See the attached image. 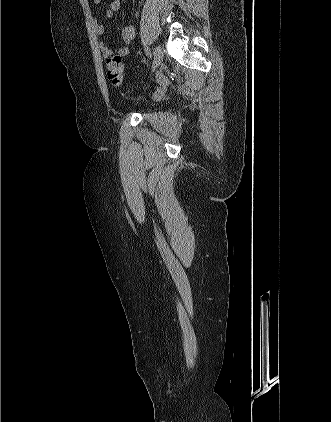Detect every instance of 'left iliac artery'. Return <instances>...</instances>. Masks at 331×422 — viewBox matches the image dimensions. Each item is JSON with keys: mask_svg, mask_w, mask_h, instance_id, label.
<instances>
[{"mask_svg": "<svg viewBox=\"0 0 331 422\" xmlns=\"http://www.w3.org/2000/svg\"><path fill=\"white\" fill-rule=\"evenodd\" d=\"M145 52L148 55V57H151L150 49L147 46H145Z\"/></svg>", "mask_w": 331, "mask_h": 422, "instance_id": "left-iliac-artery-1", "label": "left iliac artery"}]
</instances>
